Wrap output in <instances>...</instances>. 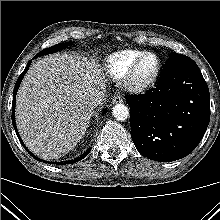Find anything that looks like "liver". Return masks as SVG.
Masks as SVG:
<instances>
[{
	"instance_id": "6515ba94",
	"label": "liver",
	"mask_w": 220,
	"mask_h": 220,
	"mask_svg": "<svg viewBox=\"0 0 220 220\" xmlns=\"http://www.w3.org/2000/svg\"><path fill=\"white\" fill-rule=\"evenodd\" d=\"M105 85L99 65L80 55L56 53L34 63L18 90L15 112L28 149L45 160L74 149L94 113L89 97Z\"/></svg>"
}]
</instances>
